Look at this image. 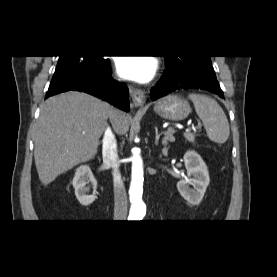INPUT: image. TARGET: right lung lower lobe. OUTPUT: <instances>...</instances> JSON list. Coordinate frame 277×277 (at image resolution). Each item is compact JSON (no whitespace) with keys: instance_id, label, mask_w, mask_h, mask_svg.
<instances>
[{"instance_id":"right-lung-lower-lobe-1","label":"right lung lower lobe","mask_w":277,"mask_h":277,"mask_svg":"<svg viewBox=\"0 0 277 277\" xmlns=\"http://www.w3.org/2000/svg\"><path fill=\"white\" fill-rule=\"evenodd\" d=\"M112 70L110 61L96 75L88 80L70 83L56 89H49L46 98L68 90L83 91L85 93L100 97L114 106L129 111L128 88L111 78Z\"/></svg>"}]
</instances>
